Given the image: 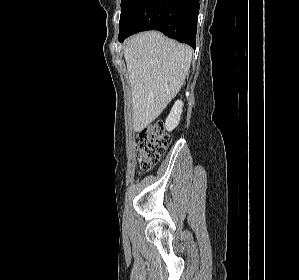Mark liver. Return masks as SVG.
Returning <instances> with one entry per match:
<instances>
[{"instance_id": "liver-1", "label": "liver", "mask_w": 299, "mask_h": 280, "mask_svg": "<svg viewBox=\"0 0 299 280\" xmlns=\"http://www.w3.org/2000/svg\"><path fill=\"white\" fill-rule=\"evenodd\" d=\"M132 90L133 129L152 123L181 89L192 48L157 31L128 38L123 47Z\"/></svg>"}]
</instances>
